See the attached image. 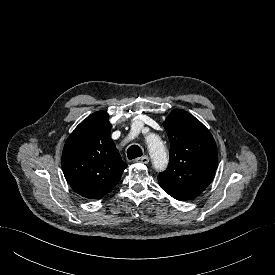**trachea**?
<instances>
[{
	"label": "trachea",
	"instance_id": "trachea-1",
	"mask_svg": "<svg viewBox=\"0 0 275 275\" xmlns=\"http://www.w3.org/2000/svg\"><path fill=\"white\" fill-rule=\"evenodd\" d=\"M142 154L143 153H142L141 148L137 145H132L127 150L128 159H135L137 157L142 156Z\"/></svg>",
	"mask_w": 275,
	"mask_h": 275
}]
</instances>
